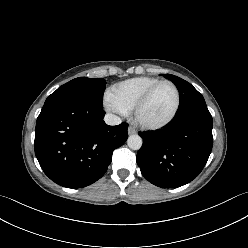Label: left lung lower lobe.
I'll use <instances>...</instances> for the list:
<instances>
[{
  "label": "left lung lower lobe",
  "mask_w": 248,
  "mask_h": 248,
  "mask_svg": "<svg viewBox=\"0 0 248 248\" xmlns=\"http://www.w3.org/2000/svg\"><path fill=\"white\" fill-rule=\"evenodd\" d=\"M212 116L206 103L177 113L159 131L139 133L143 145L137 154L142 175L162 188H176L195 179L213 146Z\"/></svg>",
  "instance_id": "obj_1"
}]
</instances>
